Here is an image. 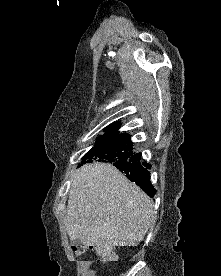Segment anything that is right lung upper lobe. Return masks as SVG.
I'll use <instances>...</instances> for the list:
<instances>
[{
    "label": "right lung upper lobe",
    "instance_id": "right-lung-upper-lobe-1",
    "mask_svg": "<svg viewBox=\"0 0 221 276\" xmlns=\"http://www.w3.org/2000/svg\"><path fill=\"white\" fill-rule=\"evenodd\" d=\"M118 129H119V123L115 122V123L109 125L107 128H105L104 132H106L105 135H108V133H110V134H119ZM123 134L128 135L126 133H123Z\"/></svg>",
    "mask_w": 221,
    "mask_h": 276
}]
</instances>
